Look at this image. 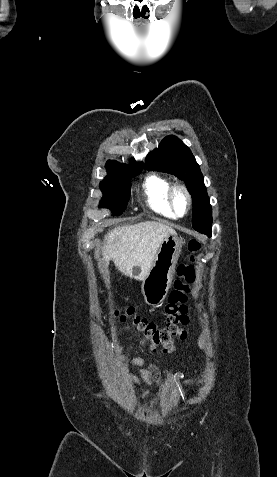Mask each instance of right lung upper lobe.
I'll return each instance as SVG.
<instances>
[{
	"label": "right lung upper lobe",
	"mask_w": 277,
	"mask_h": 477,
	"mask_svg": "<svg viewBox=\"0 0 277 477\" xmlns=\"http://www.w3.org/2000/svg\"><path fill=\"white\" fill-rule=\"evenodd\" d=\"M106 168L107 171H112V170H134V169H142L143 164L142 163H136L134 159L130 160V165L126 164H120L117 161H111L109 160L106 163Z\"/></svg>",
	"instance_id": "cb5924a9"
}]
</instances>
